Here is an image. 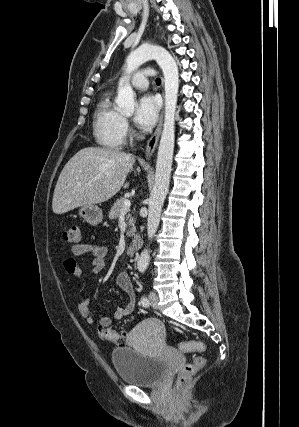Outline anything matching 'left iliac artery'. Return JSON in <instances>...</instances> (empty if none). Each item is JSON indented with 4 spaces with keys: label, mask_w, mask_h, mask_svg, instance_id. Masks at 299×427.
<instances>
[{
    "label": "left iliac artery",
    "mask_w": 299,
    "mask_h": 427,
    "mask_svg": "<svg viewBox=\"0 0 299 427\" xmlns=\"http://www.w3.org/2000/svg\"><path fill=\"white\" fill-rule=\"evenodd\" d=\"M141 272H143V271L141 270ZM141 304L144 307H148L149 306V301H148L147 297H145V296L141 297Z\"/></svg>",
    "instance_id": "left-iliac-artery-1"
}]
</instances>
